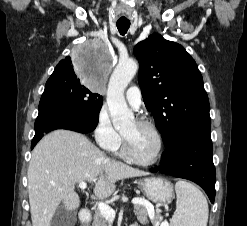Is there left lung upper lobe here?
Listing matches in <instances>:
<instances>
[{
	"instance_id": "obj_1",
	"label": "left lung upper lobe",
	"mask_w": 247,
	"mask_h": 226,
	"mask_svg": "<svg viewBox=\"0 0 247 226\" xmlns=\"http://www.w3.org/2000/svg\"><path fill=\"white\" fill-rule=\"evenodd\" d=\"M134 54L144 103L165 146L188 127L211 121L202 75L183 46L152 34L134 47Z\"/></svg>"
}]
</instances>
